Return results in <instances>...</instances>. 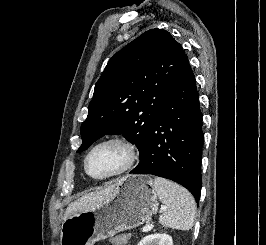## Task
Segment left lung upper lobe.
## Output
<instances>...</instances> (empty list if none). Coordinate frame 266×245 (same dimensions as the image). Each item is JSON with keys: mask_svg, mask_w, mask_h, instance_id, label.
I'll list each match as a JSON object with an SVG mask.
<instances>
[{"mask_svg": "<svg viewBox=\"0 0 266 245\" xmlns=\"http://www.w3.org/2000/svg\"><path fill=\"white\" fill-rule=\"evenodd\" d=\"M187 63L181 45L158 28L117 52L96 83L77 152L105 134H123L136 144L141 158L152 122Z\"/></svg>", "mask_w": 266, "mask_h": 245, "instance_id": "left-lung-upper-lobe-1", "label": "left lung upper lobe"}]
</instances>
